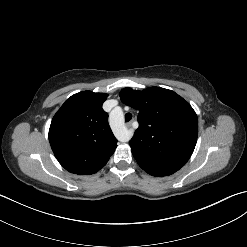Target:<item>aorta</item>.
<instances>
[{"instance_id":"762f6f07","label":"aorta","mask_w":247,"mask_h":247,"mask_svg":"<svg viewBox=\"0 0 247 247\" xmlns=\"http://www.w3.org/2000/svg\"><path fill=\"white\" fill-rule=\"evenodd\" d=\"M113 115L117 116L120 120L121 125L123 124V113L120 109H115L113 111ZM133 133L128 130L125 126H121V134L119 135V139L123 142H127L131 139Z\"/></svg>"}]
</instances>
